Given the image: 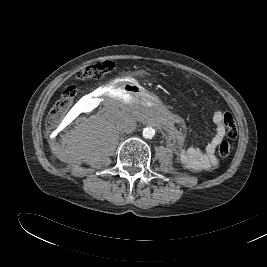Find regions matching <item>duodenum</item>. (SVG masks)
I'll use <instances>...</instances> for the list:
<instances>
[{
    "instance_id": "duodenum-1",
    "label": "duodenum",
    "mask_w": 267,
    "mask_h": 267,
    "mask_svg": "<svg viewBox=\"0 0 267 267\" xmlns=\"http://www.w3.org/2000/svg\"><path fill=\"white\" fill-rule=\"evenodd\" d=\"M113 90L115 92H128L129 94L140 95L144 98L149 99L152 103H158L160 101V96L140 85H134L130 83H115L113 85Z\"/></svg>"
}]
</instances>
